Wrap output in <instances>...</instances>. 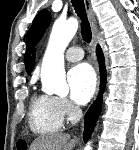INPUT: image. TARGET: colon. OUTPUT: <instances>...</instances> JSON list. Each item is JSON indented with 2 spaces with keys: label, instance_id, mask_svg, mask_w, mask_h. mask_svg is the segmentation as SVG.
<instances>
[{
  "label": "colon",
  "instance_id": "colon-1",
  "mask_svg": "<svg viewBox=\"0 0 139 150\" xmlns=\"http://www.w3.org/2000/svg\"><path fill=\"white\" fill-rule=\"evenodd\" d=\"M17 150H27V146L24 142L20 141L17 143Z\"/></svg>",
  "mask_w": 139,
  "mask_h": 150
}]
</instances>
